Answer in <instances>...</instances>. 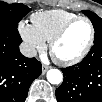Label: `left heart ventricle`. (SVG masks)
Listing matches in <instances>:
<instances>
[{"label":"left heart ventricle","mask_w":102,"mask_h":102,"mask_svg":"<svg viewBox=\"0 0 102 102\" xmlns=\"http://www.w3.org/2000/svg\"><path fill=\"white\" fill-rule=\"evenodd\" d=\"M90 30L85 22L73 25L54 49L60 59H72L78 56L87 44Z\"/></svg>","instance_id":"1"}]
</instances>
